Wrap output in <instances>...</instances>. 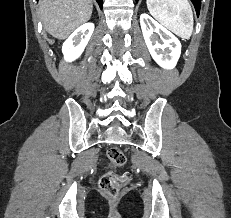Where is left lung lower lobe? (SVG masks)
<instances>
[{"instance_id":"1","label":"left lung lower lobe","mask_w":231,"mask_h":218,"mask_svg":"<svg viewBox=\"0 0 231 218\" xmlns=\"http://www.w3.org/2000/svg\"><path fill=\"white\" fill-rule=\"evenodd\" d=\"M139 0H136V2H138ZM195 9H196V13L197 16H199V12H200V7H201V0H191Z\"/></svg>"}]
</instances>
